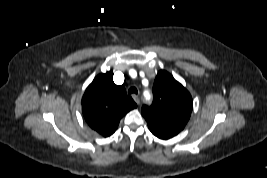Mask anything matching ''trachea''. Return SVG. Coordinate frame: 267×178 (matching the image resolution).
I'll return each instance as SVG.
<instances>
[{"instance_id":"trachea-1","label":"trachea","mask_w":267,"mask_h":178,"mask_svg":"<svg viewBox=\"0 0 267 178\" xmlns=\"http://www.w3.org/2000/svg\"><path fill=\"white\" fill-rule=\"evenodd\" d=\"M138 93V91H137V89L135 88V87H131L129 90H128V94L130 95V94H137Z\"/></svg>"}]
</instances>
